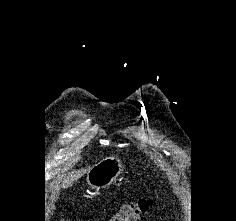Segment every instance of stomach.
I'll return each instance as SVG.
<instances>
[{"mask_svg": "<svg viewBox=\"0 0 236 221\" xmlns=\"http://www.w3.org/2000/svg\"><path fill=\"white\" fill-rule=\"evenodd\" d=\"M123 171L122 161L117 156H109L95 164L86 176L87 184L94 189L110 186Z\"/></svg>", "mask_w": 236, "mask_h": 221, "instance_id": "0dacf381", "label": "stomach"}]
</instances>
